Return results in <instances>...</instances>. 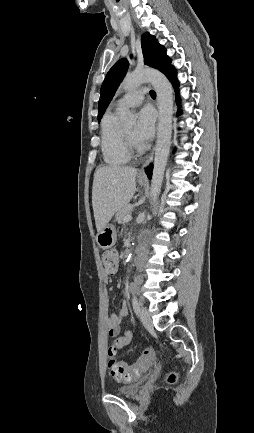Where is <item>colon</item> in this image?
Here are the masks:
<instances>
[{
	"mask_svg": "<svg viewBox=\"0 0 254 433\" xmlns=\"http://www.w3.org/2000/svg\"><path fill=\"white\" fill-rule=\"evenodd\" d=\"M101 259L106 273L114 274L118 266V253L115 250H107L102 253ZM116 353V346L110 345L108 348V368L113 378L118 382H132L138 379L153 363V352L150 353L147 350L140 355L138 361L133 365L117 361L114 358ZM176 378L175 373L169 375L170 382H174Z\"/></svg>",
	"mask_w": 254,
	"mask_h": 433,
	"instance_id": "1",
	"label": "colon"
}]
</instances>
